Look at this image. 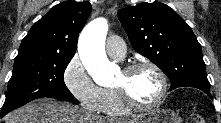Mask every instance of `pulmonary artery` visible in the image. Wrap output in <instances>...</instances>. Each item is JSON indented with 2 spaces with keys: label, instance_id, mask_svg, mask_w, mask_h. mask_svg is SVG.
Segmentation results:
<instances>
[{
  "label": "pulmonary artery",
  "instance_id": "1",
  "mask_svg": "<svg viewBox=\"0 0 221 123\" xmlns=\"http://www.w3.org/2000/svg\"><path fill=\"white\" fill-rule=\"evenodd\" d=\"M106 51L111 58L122 59L126 53L124 41L116 35H112L107 39Z\"/></svg>",
  "mask_w": 221,
  "mask_h": 123
}]
</instances>
